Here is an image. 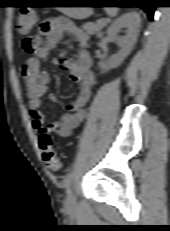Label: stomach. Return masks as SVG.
<instances>
[{
	"instance_id": "stomach-1",
	"label": "stomach",
	"mask_w": 170,
	"mask_h": 231,
	"mask_svg": "<svg viewBox=\"0 0 170 231\" xmlns=\"http://www.w3.org/2000/svg\"><path fill=\"white\" fill-rule=\"evenodd\" d=\"M52 4H75L74 1H50ZM59 11L72 18H85L88 16L86 13L87 8L84 7H56Z\"/></svg>"
}]
</instances>
